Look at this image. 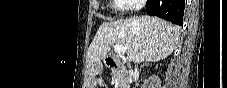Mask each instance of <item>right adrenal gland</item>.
I'll return each instance as SVG.
<instances>
[{
    "label": "right adrenal gland",
    "mask_w": 227,
    "mask_h": 88,
    "mask_svg": "<svg viewBox=\"0 0 227 88\" xmlns=\"http://www.w3.org/2000/svg\"><path fill=\"white\" fill-rule=\"evenodd\" d=\"M148 63H149V61H147V62L143 63V64L141 65V67H140V68H143V67H144V65H147Z\"/></svg>",
    "instance_id": "obj_1"
}]
</instances>
